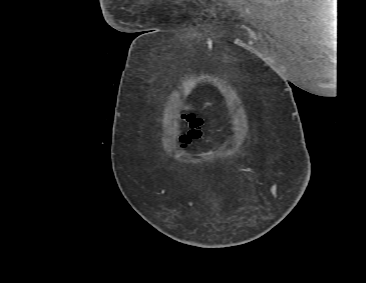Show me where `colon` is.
<instances>
[{
	"mask_svg": "<svg viewBox=\"0 0 366 283\" xmlns=\"http://www.w3.org/2000/svg\"><path fill=\"white\" fill-rule=\"evenodd\" d=\"M182 121L188 128L187 133L181 136V146L186 147L193 141H196L201 138L203 134V121L201 118L196 117L194 115H184L182 116Z\"/></svg>",
	"mask_w": 366,
	"mask_h": 283,
	"instance_id": "5ec220e1",
	"label": "colon"
}]
</instances>
